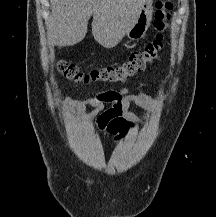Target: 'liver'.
Segmentation results:
<instances>
[{
	"label": "liver",
	"instance_id": "6515ba94",
	"mask_svg": "<svg viewBox=\"0 0 216 217\" xmlns=\"http://www.w3.org/2000/svg\"><path fill=\"white\" fill-rule=\"evenodd\" d=\"M48 24L51 44L74 45L87 33L93 15L92 34L103 47L116 46L139 15L145 0H51Z\"/></svg>",
	"mask_w": 216,
	"mask_h": 217
}]
</instances>
